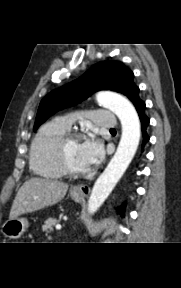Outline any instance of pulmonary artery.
<instances>
[{
	"mask_svg": "<svg viewBox=\"0 0 181 288\" xmlns=\"http://www.w3.org/2000/svg\"><path fill=\"white\" fill-rule=\"evenodd\" d=\"M88 117L91 119V121L102 128H115L116 127V117L115 115L110 111L105 110H93L89 112ZM78 116L76 114H69L66 116H63L59 118L57 121L67 130L70 129L73 121L75 120V117Z\"/></svg>",
	"mask_w": 181,
	"mask_h": 288,
	"instance_id": "1",
	"label": "pulmonary artery"
}]
</instances>
